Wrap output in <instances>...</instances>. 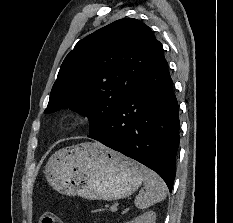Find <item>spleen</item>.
Segmentation results:
<instances>
[{
    "label": "spleen",
    "instance_id": "3e777b00",
    "mask_svg": "<svg viewBox=\"0 0 233 223\" xmlns=\"http://www.w3.org/2000/svg\"><path fill=\"white\" fill-rule=\"evenodd\" d=\"M144 187L145 191H141L135 197V205L140 209H146L158 201H163L167 195V185L160 175H157L152 169L144 167Z\"/></svg>",
    "mask_w": 233,
    "mask_h": 223
}]
</instances>
